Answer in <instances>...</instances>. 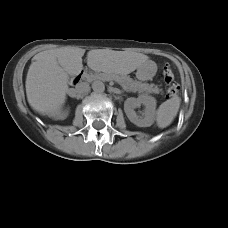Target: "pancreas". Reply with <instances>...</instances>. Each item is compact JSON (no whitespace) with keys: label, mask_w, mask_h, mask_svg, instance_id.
<instances>
[{"label":"pancreas","mask_w":228,"mask_h":228,"mask_svg":"<svg viewBox=\"0 0 228 228\" xmlns=\"http://www.w3.org/2000/svg\"><path fill=\"white\" fill-rule=\"evenodd\" d=\"M109 79H114L117 81L121 86L131 92H139V93H160L162 92L161 89L158 88L157 85L154 84H147V83H141L139 81H134L131 79L129 76H113V77H108L103 74L101 75H90L88 77V80L90 81H100V80H109Z\"/></svg>","instance_id":"cf45deb5"}]
</instances>
